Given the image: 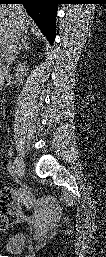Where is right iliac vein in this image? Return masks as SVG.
<instances>
[{"mask_svg":"<svg viewBox=\"0 0 106 257\" xmlns=\"http://www.w3.org/2000/svg\"><path fill=\"white\" fill-rule=\"evenodd\" d=\"M14 165L16 175L18 176V178L22 179L25 174V166L23 158L20 155H16Z\"/></svg>","mask_w":106,"mask_h":257,"instance_id":"right-iliac-vein-1","label":"right iliac vein"}]
</instances>
